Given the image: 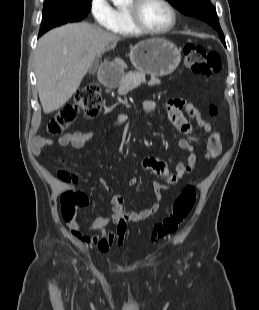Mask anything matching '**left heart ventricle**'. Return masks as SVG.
Instances as JSON below:
<instances>
[{"instance_id":"obj_1","label":"left heart ventricle","mask_w":259,"mask_h":310,"mask_svg":"<svg viewBox=\"0 0 259 310\" xmlns=\"http://www.w3.org/2000/svg\"><path fill=\"white\" fill-rule=\"evenodd\" d=\"M141 22L151 29H162L171 21L168 9L159 0H146L140 10Z\"/></svg>"}]
</instances>
